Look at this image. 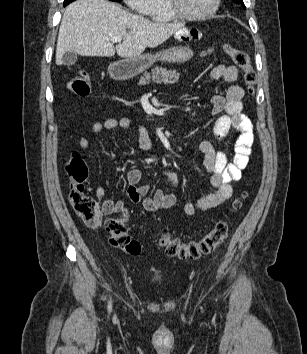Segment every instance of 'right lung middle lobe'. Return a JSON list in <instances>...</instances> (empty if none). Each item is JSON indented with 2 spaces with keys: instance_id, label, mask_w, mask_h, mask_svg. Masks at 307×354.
Instances as JSON below:
<instances>
[{
  "instance_id": "obj_1",
  "label": "right lung middle lobe",
  "mask_w": 307,
  "mask_h": 354,
  "mask_svg": "<svg viewBox=\"0 0 307 354\" xmlns=\"http://www.w3.org/2000/svg\"><path fill=\"white\" fill-rule=\"evenodd\" d=\"M72 1H74V0H65V1H64V6L68 5V4L71 3ZM111 1L119 2V1H121V0H111Z\"/></svg>"
}]
</instances>
